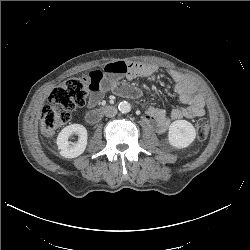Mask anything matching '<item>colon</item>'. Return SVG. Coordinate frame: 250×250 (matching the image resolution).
Returning a JSON list of instances; mask_svg holds the SVG:
<instances>
[{"label": "colon", "instance_id": "5ec220e1", "mask_svg": "<svg viewBox=\"0 0 250 250\" xmlns=\"http://www.w3.org/2000/svg\"><path fill=\"white\" fill-rule=\"evenodd\" d=\"M90 89L88 75L69 78L59 83L50 93L47 103L41 111V129L51 135L67 124L71 119V112L82 107L87 100ZM199 140H205L210 131V124L206 119H199L195 125Z\"/></svg>", "mask_w": 250, "mask_h": 250}]
</instances>
